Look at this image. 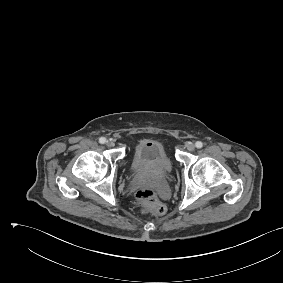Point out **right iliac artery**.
<instances>
[{
	"mask_svg": "<svg viewBox=\"0 0 283 283\" xmlns=\"http://www.w3.org/2000/svg\"><path fill=\"white\" fill-rule=\"evenodd\" d=\"M105 142H106V138L101 137V138L99 139V143L104 144Z\"/></svg>",
	"mask_w": 283,
	"mask_h": 283,
	"instance_id": "right-iliac-artery-1",
	"label": "right iliac artery"
}]
</instances>
